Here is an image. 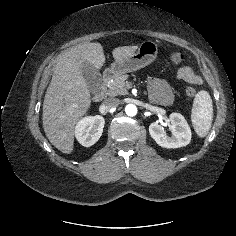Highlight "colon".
<instances>
[{
	"label": "colon",
	"mask_w": 236,
	"mask_h": 236,
	"mask_svg": "<svg viewBox=\"0 0 236 236\" xmlns=\"http://www.w3.org/2000/svg\"><path fill=\"white\" fill-rule=\"evenodd\" d=\"M167 57L172 64H180L184 59V55L182 54V52L175 49L169 50L167 53ZM185 93L188 97L193 98L196 95V90L191 86H186Z\"/></svg>",
	"instance_id": "colon-1"
}]
</instances>
